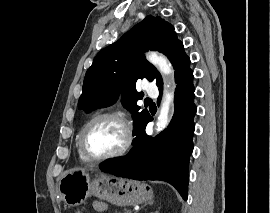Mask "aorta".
<instances>
[{
  "label": "aorta",
  "mask_w": 270,
  "mask_h": 213,
  "mask_svg": "<svg viewBox=\"0 0 270 213\" xmlns=\"http://www.w3.org/2000/svg\"><path fill=\"white\" fill-rule=\"evenodd\" d=\"M147 59L149 62L155 65L164 76H169L173 73V69L170 62L164 56L159 55L155 52H150L147 55ZM173 99H174V93L170 91L169 89H166L164 91V97L162 100L160 113H159L158 120L156 123V130L158 132L165 129L169 124L168 115H169L170 105L173 102Z\"/></svg>",
  "instance_id": "aorta-1"
}]
</instances>
